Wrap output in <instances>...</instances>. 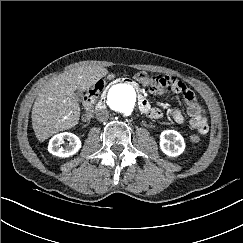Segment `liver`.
Returning <instances> with one entry per match:
<instances>
[{
    "label": "liver",
    "mask_w": 243,
    "mask_h": 243,
    "mask_svg": "<svg viewBox=\"0 0 243 243\" xmlns=\"http://www.w3.org/2000/svg\"><path fill=\"white\" fill-rule=\"evenodd\" d=\"M107 73L100 66H82L47 81L32 108V127L38 141L76 126L81 110L75 91H86Z\"/></svg>",
    "instance_id": "obj_1"
}]
</instances>
